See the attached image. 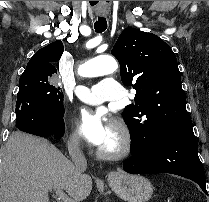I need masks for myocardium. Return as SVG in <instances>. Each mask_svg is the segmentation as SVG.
Listing matches in <instances>:
<instances>
[{
  "mask_svg": "<svg viewBox=\"0 0 209 202\" xmlns=\"http://www.w3.org/2000/svg\"><path fill=\"white\" fill-rule=\"evenodd\" d=\"M112 125L117 129L119 133V144L111 151L97 149L96 156L101 160L113 161L120 160L128 156L133 149V140L131 133L124 122L118 119L112 121Z\"/></svg>",
  "mask_w": 209,
  "mask_h": 202,
  "instance_id": "1",
  "label": "myocardium"
}]
</instances>
